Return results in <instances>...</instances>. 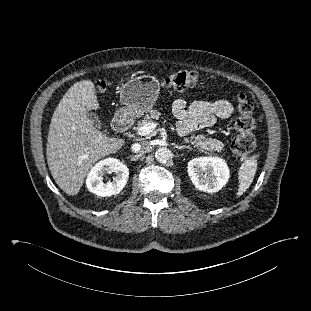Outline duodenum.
Listing matches in <instances>:
<instances>
[{
  "mask_svg": "<svg viewBox=\"0 0 311 311\" xmlns=\"http://www.w3.org/2000/svg\"><path fill=\"white\" fill-rule=\"evenodd\" d=\"M113 128L117 131H125L127 130L131 125V118L124 114H119L116 116V118L113 120Z\"/></svg>",
  "mask_w": 311,
  "mask_h": 311,
  "instance_id": "1",
  "label": "duodenum"
}]
</instances>
